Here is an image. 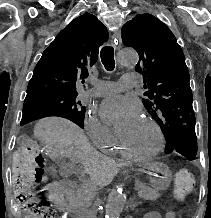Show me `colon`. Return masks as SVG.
I'll use <instances>...</instances> for the list:
<instances>
[{"instance_id":"5ec220e1","label":"colon","mask_w":211,"mask_h":218,"mask_svg":"<svg viewBox=\"0 0 211 218\" xmlns=\"http://www.w3.org/2000/svg\"><path fill=\"white\" fill-rule=\"evenodd\" d=\"M12 175L18 200L27 213V218H55L53 204L41 190L35 187L45 181L44 160L38 148L30 142L19 148L13 157ZM195 186V178L187 169L178 170L175 174V195L183 200Z\"/></svg>"}]
</instances>
